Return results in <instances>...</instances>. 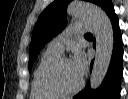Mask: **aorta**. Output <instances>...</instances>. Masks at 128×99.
<instances>
[{"label": "aorta", "mask_w": 128, "mask_h": 99, "mask_svg": "<svg viewBox=\"0 0 128 99\" xmlns=\"http://www.w3.org/2000/svg\"><path fill=\"white\" fill-rule=\"evenodd\" d=\"M68 14L75 18L87 19L93 26L96 38V53L90 77V86L97 89L108 71L114 45V32L111 21L98 6L75 0L68 7Z\"/></svg>", "instance_id": "762f6f07"}]
</instances>
